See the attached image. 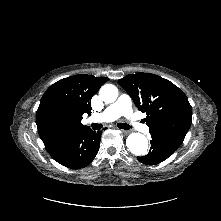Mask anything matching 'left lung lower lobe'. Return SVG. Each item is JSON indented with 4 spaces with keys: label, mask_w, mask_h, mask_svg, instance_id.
Segmentation results:
<instances>
[{
    "label": "left lung lower lobe",
    "mask_w": 221,
    "mask_h": 221,
    "mask_svg": "<svg viewBox=\"0 0 221 221\" xmlns=\"http://www.w3.org/2000/svg\"><path fill=\"white\" fill-rule=\"evenodd\" d=\"M151 148L147 155L137 157L143 164H158L170 157L181 145L159 134H151Z\"/></svg>",
    "instance_id": "0a47b994"
}]
</instances>
